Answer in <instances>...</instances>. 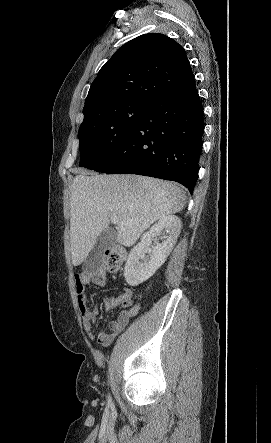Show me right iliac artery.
I'll list each match as a JSON object with an SVG mask.
<instances>
[{"label": "right iliac artery", "mask_w": 271, "mask_h": 443, "mask_svg": "<svg viewBox=\"0 0 271 443\" xmlns=\"http://www.w3.org/2000/svg\"><path fill=\"white\" fill-rule=\"evenodd\" d=\"M108 404H109V405H112V399H111V396H108Z\"/></svg>", "instance_id": "right-iliac-artery-1"}]
</instances>
